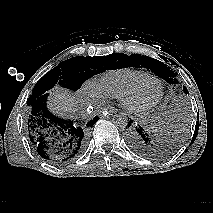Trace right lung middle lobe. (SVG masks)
<instances>
[{
    "label": "right lung middle lobe",
    "mask_w": 213,
    "mask_h": 213,
    "mask_svg": "<svg viewBox=\"0 0 213 213\" xmlns=\"http://www.w3.org/2000/svg\"><path fill=\"white\" fill-rule=\"evenodd\" d=\"M122 56H124L123 53L94 57L78 56L64 61L45 74L36 83L31 96L27 100L28 107H30L37 98L45 94L46 91L50 90L55 84L76 91L88 78L106 70L117 69L110 65L112 63H118L119 61H116Z\"/></svg>",
    "instance_id": "dd1d6c3e"
}]
</instances>
